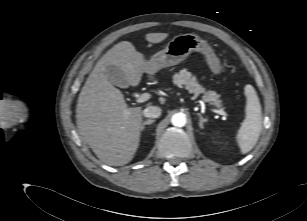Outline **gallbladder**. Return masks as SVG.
Segmentation results:
<instances>
[{
	"mask_svg": "<svg viewBox=\"0 0 307 221\" xmlns=\"http://www.w3.org/2000/svg\"><path fill=\"white\" fill-rule=\"evenodd\" d=\"M105 74L108 80L116 86L127 87L128 82L126 80L125 74L117 66H107Z\"/></svg>",
	"mask_w": 307,
	"mask_h": 221,
	"instance_id": "bac80fb5",
	"label": "gallbladder"
}]
</instances>
